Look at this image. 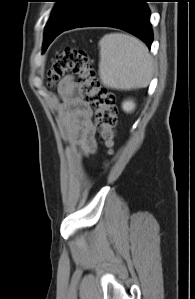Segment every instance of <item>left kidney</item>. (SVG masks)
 Listing matches in <instances>:
<instances>
[{"instance_id":"left-kidney-1","label":"left kidney","mask_w":195,"mask_h":299,"mask_svg":"<svg viewBox=\"0 0 195 299\" xmlns=\"http://www.w3.org/2000/svg\"><path fill=\"white\" fill-rule=\"evenodd\" d=\"M122 109L127 113L132 112L135 109V103L132 100L124 101Z\"/></svg>"}]
</instances>
